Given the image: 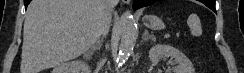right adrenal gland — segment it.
I'll list each match as a JSON object with an SVG mask.
<instances>
[{"label": "right adrenal gland", "instance_id": "right-adrenal-gland-1", "mask_svg": "<svg viewBox=\"0 0 244 73\" xmlns=\"http://www.w3.org/2000/svg\"><path fill=\"white\" fill-rule=\"evenodd\" d=\"M102 43H103V38L100 39V40H98V41L93 45V47H91L90 52H91V53H94V51L99 50V49L101 48V46H102Z\"/></svg>", "mask_w": 244, "mask_h": 73}]
</instances>
